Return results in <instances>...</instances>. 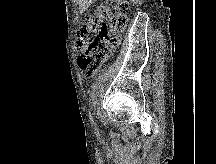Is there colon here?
I'll use <instances>...</instances> for the list:
<instances>
[{
	"label": "colon",
	"instance_id": "obj_1",
	"mask_svg": "<svg viewBox=\"0 0 216 164\" xmlns=\"http://www.w3.org/2000/svg\"><path fill=\"white\" fill-rule=\"evenodd\" d=\"M129 12L128 0H106L81 27L76 46L82 51L78 63L84 76H94L109 58L126 28Z\"/></svg>",
	"mask_w": 216,
	"mask_h": 164
}]
</instances>
